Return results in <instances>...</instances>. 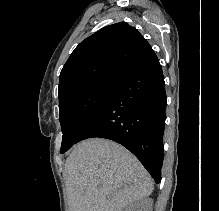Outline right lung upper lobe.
Instances as JSON below:
<instances>
[{"instance_id":"cb5924a9","label":"right lung upper lobe","mask_w":219,"mask_h":211,"mask_svg":"<svg viewBox=\"0 0 219 211\" xmlns=\"http://www.w3.org/2000/svg\"><path fill=\"white\" fill-rule=\"evenodd\" d=\"M150 44L125 22L106 26L83 40L65 63L59 101L98 84L117 85L156 60Z\"/></svg>"}]
</instances>
